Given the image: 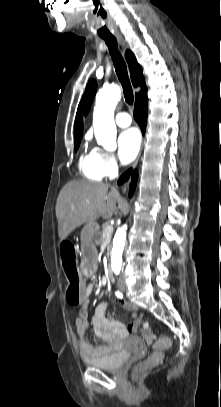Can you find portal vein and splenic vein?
I'll return each mask as SVG.
<instances>
[{
	"instance_id": "obj_1",
	"label": "portal vein and splenic vein",
	"mask_w": 221,
	"mask_h": 407,
	"mask_svg": "<svg viewBox=\"0 0 221 407\" xmlns=\"http://www.w3.org/2000/svg\"><path fill=\"white\" fill-rule=\"evenodd\" d=\"M112 232H113V226H111V225L106 226L103 231V237L105 238V237L111 236Z\"/></svg>"
}]
</instances>
